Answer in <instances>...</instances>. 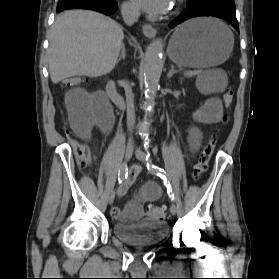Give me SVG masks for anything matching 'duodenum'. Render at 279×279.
<instances>
[{"label":"duodenum","instance_id":"1","mask_svg":"<svg viewBox=\"0 0 279 279\" xmlns=\"http://www.w3.org/2000/svg\"><path fill=\"white\" fill-rule=\"evenodd\" d=\"M107 94L112 102L120 108H123L125 105V101L123 97L119 94L117 90V86L113 80H108L107 82Z\"/></svg>","mask_w":279,"mask_h":279}]
</instances>
